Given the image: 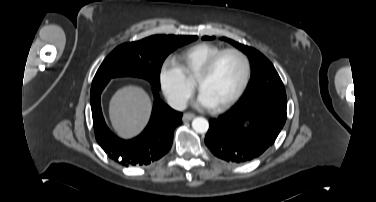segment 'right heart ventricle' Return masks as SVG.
Returning a JSON list of instances; mask_svg holds the SVG:
<instances>
[{"mask_svg": "<svg viewBox=\"0 0 376 202\" xmlns=\"http://www.w3.org/2000/svg\"><path fill=\"white\" fill-rule=\"evenodd\" d=\"M222 49V47L216 44L206 42L198 43L177 53L173 61L184 76L191 82L194 81L197 73L205 62Z\"/></svg>", "mask_w": 376, "mask_h": 202, "instance_id": "e07e8e85", "label": "right heart ventricle"}]
</instances>
